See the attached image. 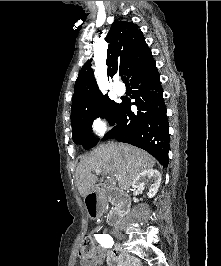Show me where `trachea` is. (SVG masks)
<instances>
[{
	"instance_id": "obj_1",
	"label": "trachea",
	"mask_w": 221,
	"mask_h": 266,
	"mask_svg": "<svg viewBox=\"0 0 221 266\" xmlns=\"http://www.w3.org/2000/svg\"><path fill=\"white\" fill-rule=\"evenodd\" d=\"M121 78H122L124 83H126V84L128 83V79L126 78V76H121Z\"/></svg>"
}]
</instances>
